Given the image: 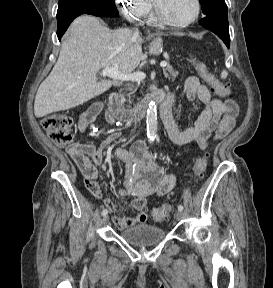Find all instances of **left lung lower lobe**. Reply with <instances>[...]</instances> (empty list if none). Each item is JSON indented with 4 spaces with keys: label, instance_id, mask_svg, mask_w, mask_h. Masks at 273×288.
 <instances>
[{
    "label": "left lung lower lobe",
    "instance_id": "0a47b994",
    "mask_svg": "<svg viewBox=\"0 0 273 288\" xmlns=\"http://www.w3.org/2000/svg\"><path fill=\"white\" fill-rule=\"evenodd\" d=\"M199 24L218 35L227 47H229L230 36L227 14H221L214 17H204L199 21Z\"/></svg>",
    "mask_w": 273,
    "mask_h": 288
}]
</instances>
